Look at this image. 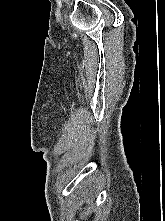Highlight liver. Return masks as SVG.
<instances>
[{"mask_svg": "<svg viewBox=\"0 0 165 221\" xmlns=\"http://www.w3.org/2000/svg\"><path fill=\"white\" fill-rule=\"evenodd\" d=\"M85 214H88V210H87V212H85Z\"/></svg>", "mask_w": 165, "mask_h": 221, "instance_id": "1", "label": "liver"}]
</instances>
